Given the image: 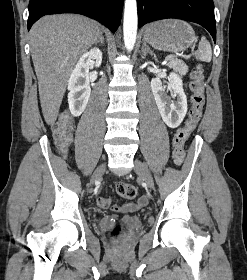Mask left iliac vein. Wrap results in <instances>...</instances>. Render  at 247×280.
Returning <instances> with one entry per match:
<instances>
[{"instance_id":"left-iliac-vein-1","label":"left iliac vein","mask_w":247,"mask_h":280,"mask_svg":"<svg viewBox=\"0 0 247 280\" xmlns=\"http://www.w3.org/2000/svg\"><path fill=\"white\" fill-rule=\"evenodd\" d=\"M134 170L137 173V175H139V177L145 181V183L149 188H153L154 186L153 177L144 163H142L139 160H135Z\"/></svg>"}]
</instances>
